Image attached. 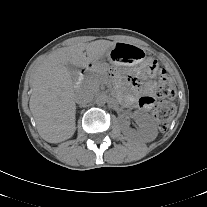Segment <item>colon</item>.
Returning <instances> with one entry per match:
<instances>
[{"label": "colon", "mask_w": 207, "mask_h": 207, "mask_svg": "<svg viewBox=\"0 0 207 207\" xmlns=\"http://www.w3.org/2000/svg\"><path fill=\"white\" fill-rule=\"evenodd\" d=\"M148 67L153 71H158V82L155 89V94L162 101L156 107L154 111V117L157 121L161 131H165L170 118L175 112L174 105L168 100L175 97L176 90L174 84L170 77L166 74L163 69H158L157 61L154 59H149Z\"/></svg>", "instance_id": "obj_1"}]
</instances>
